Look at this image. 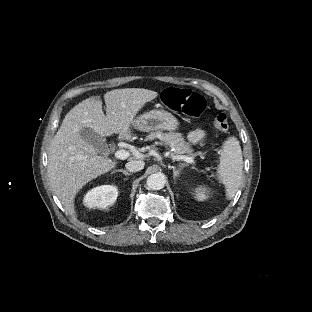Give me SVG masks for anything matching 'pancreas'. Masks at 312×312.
<instances>
[{
    "instance_id": "pancreas-1",
    "label": "pancreas",
    "mask_w": 312,
    "mask_h": 312,
    "mask_svg": "<svg viewBox=\"0 0 312 312\" xmlns=\"http://www.w3.org/2000/svg\"><path fill=\"white\" fill-rule=\"evenodd\" d=\"M157 136H160V140L164 145L170 146L171 149H174L173 154L192 155L193 149L191 148L190 143L184 140L181 133L178 132L163 133L161 131L151 132L149 135L145 137V141L153 140Z\"/></svg>"
}]
</instances>
